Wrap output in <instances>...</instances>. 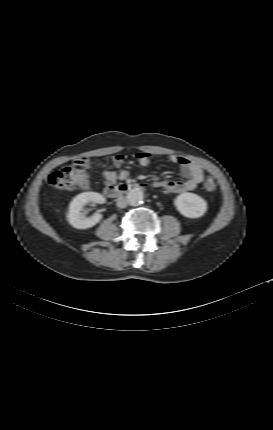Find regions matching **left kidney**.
<instances>
[{
	"label": "left kidney",
	"mask_w": 273,
	"mask_h": 430,
	"mask_svg": "<svg viewBox=\"0 0 273 430\" xmlns=\"http://www.w3.org/2000/svg\"><path fill=\"white\" fill-rule=\"evenodd\" d=\"M177 210L187 218L202 217L207 211V202L197 194L186 192L174 201Z\"/></svg>",
	"instance_id": "left-kidney-1"
}]
</instances>
